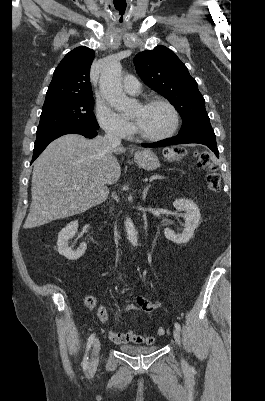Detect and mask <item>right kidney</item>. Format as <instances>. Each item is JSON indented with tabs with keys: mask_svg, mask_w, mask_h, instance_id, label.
Here are the masks:
<instances>
[{
	"mask_svg": "<svg viewBox=\"0 0 265 401\" xmlns=\"http://www.w3.org/2000/svg\"><path fill=\"white\" fill-rule=\"evenodd\" d=\"M77 231L78 221H71V223H68L67 227H65V229H62V231H60L58 235V253H60V255H64V257H66V259H69V261H76V259H79V257H82V255H84L87 249L86 243H81L80 247H78L76 251H72V249L68 247L69 239H73Z\"/></svg>",
	"mask_w": 265,
	"mask_h": 401,
	"instance_id": "ca27d5eb",
	"label": "right kidney"
}]
</instances>
